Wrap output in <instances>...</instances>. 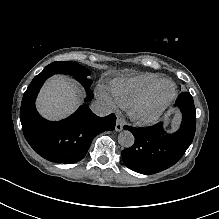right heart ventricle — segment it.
Returning <instances> with one entry per match:
<instances>
[{
  "label": "right heart ventricle",
  "mask_w": 219,
  "mask_h": 219,
  "mask_svg": "<svg viewBox=\"0 0 219 219\" xmlns=\"http://www.w3.org/2000/svg\"><path fill=\"white\" fill-rule=\"evenodd\" d=\"M159 80L160 77L158 75L149 73L124 77L112 82L111 93L121 106L131 107Z\"/></svg>",
  "instance_id": "e07e8e85"
}]
</instances>
